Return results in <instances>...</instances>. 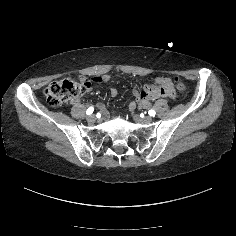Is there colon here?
I'll list each match as a JSON object with an SVG mask.
<instances>
[{
    "label": "colon",
    "instance_id": "colon-1",
    "mask_svg": "<svg viewBox=\"0 0 236 236\" xmlns=\"http://www.w3.org/2000/svg\"><path fill=\"white\" fill-rule=\"evenodd\" d=\"M176 88L186 93L187 86L179 78H174ZM91 85V80L87 77L79 79L63 78L50 83L44 91L46 101L51 106H61L66 102L81 97Z\"/></svg>",
    "mask_w": 236,
    "mask_h": 236
}]
</instances>
